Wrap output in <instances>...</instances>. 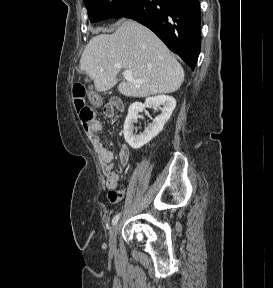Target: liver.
<instances>
[{"mask_svg":"<svg viewBox=\"0 0 273 288\" xmlns=\"http://www.w3.org/2000/svg\"><path fill=\"white\" fill-rule=\"evenodd\" d=\"M80 69L98 92L110 90L117 84L118 73L130 70L133 80L140 83L119 84V92L127 97L173 93L184 81V70L166 45L133 20L123 21L113 34L93 37L81 56Z\"/></svg>","mask_w":273,"mask_h":288,"instance_id":"1","label":"liver"}]
</instances>
